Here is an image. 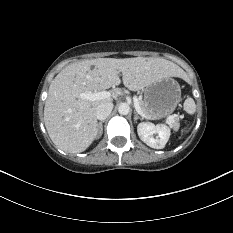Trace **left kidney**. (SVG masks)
<instances>
[{
  "label": "left kidney",
  "mask_w": 233,
  "mask_h": 233,
  "mask_svg": "<svg viewBox=\"0 0 233 233\" xmlns=\"http://www.w3.org/2000/svg\"><path fill=\"white\" fill-rule=\"evenodd\" d=\"M137 132L140 139L154 149L164 148L171 134L169 127L148 122L139 123ZM154 134H158V136L154 138Z\"/></svg>",
  "instance_id": "left-kidney-1"
}]
</instances>
